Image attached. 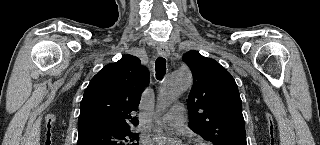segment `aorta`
Listing matches in <instances>:
<instances>
[{"label": "aorta", "instance_id": "aorta-1", "mask_svg": "<svg viewBox=\"0 0 320 145\" xmlns=\"http://www.w3.org/2000/svg\"><path fill=\"white\" fill-rule=\"evenodd\" d=\"M192 85V77L188 72H173L171 73L165 82L163 83L158 100V111L167 110L178 98V96L189 89ZM155 139L158 143H163L167 138L162 130L155 131Z\"/></svg>", "mask_w": 320, "mask_h": 145}]
</instances>
